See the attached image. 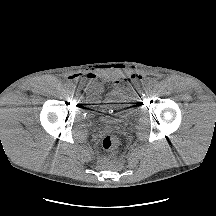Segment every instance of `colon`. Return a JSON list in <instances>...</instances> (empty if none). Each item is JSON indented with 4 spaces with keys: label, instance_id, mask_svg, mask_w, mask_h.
Returning a JSON list of instances; mask_svg holds the SVG:
<instances>
[{
    "label": "colon",
    "instance_id": "1",
    "mask_svg": "<svg viewBox=\"0 0 216 216\" xmlns=\"http://www.w3.org/2000/svg\"><path fill=\"white\" fill-rule=\"evenodd\" d=\"M121 145V137L117 134H108L102 140V147L105 150L113 151Z\"/></svg>",
    "mask_w": 216,
    "mask_h": 216
}]
</instances>
